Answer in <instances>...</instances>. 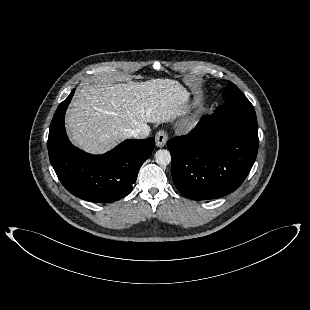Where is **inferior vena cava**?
Segmentation results:
<instances>
[{"label": "inferior vena cava", "mask_w": 310, "mask_h": 310, "mask_svg": "<svg viewBox=\"0 0 310 310\" xmlns=\"http://www.w3.org/2000/svg\"><path fill=\"white\" fill-rule=\"evenodd\" d=\"M126 133L129 137H133V138H136V139H143V138H146L148 136V133L147 132H144V131H141L140 129L138 128H135V129H127L126 130Z\"/></svg>", "instance_id": "inferior-vena-cava-1"}]
</instances>
